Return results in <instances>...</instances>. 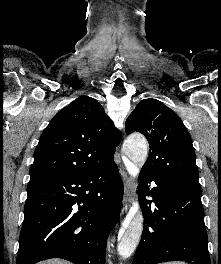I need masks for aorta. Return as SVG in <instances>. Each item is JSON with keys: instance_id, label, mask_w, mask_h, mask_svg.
Listing matches in <instances>:
<instances>
[{"instance_id": "1", "label": "aorta", "mask_w": 221, "mask_h": 264, "mask_svg": "<svg viewBox=\"0 0 221 264\" xmlns=\"http://www.w3.org/2000/svg\"><path fill=\"white\" fill-rule=\"evenodd\" d=\"M125 155L135 165L142 166L148 155L147 141L140 136L128 138L123 145ZM143 214L137 209L124 224L118 237V252L122 259H128L136 250L143 231Z\"/></svg>"}]
</instances>
